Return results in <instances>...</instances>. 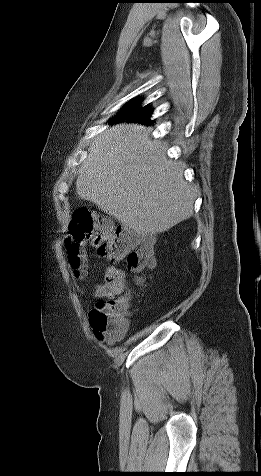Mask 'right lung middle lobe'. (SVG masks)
Here are the masks:
<instances>
[{
    "instance_id": "obj_1",
    "label": "right lung middle lobe",
    "mask_w": 261,
    "mask_h": 476,
    "mask_svg": "<svg viewBox=\"0 0 261 476\" xmlns=\"http://www.w3.org/2000/svg\"><path fill=\"white\" fill-rule=\"evenodd\" d=\"M150 111L148 107H139V104H134L133 106L127 108L123 113L117 116V119H131L136 121L149 122L150 121ZM151 122V121H150Z\"/></svg>"
}]
</instances>
